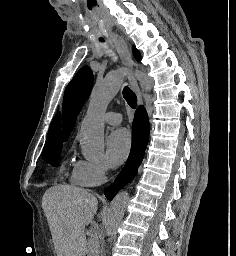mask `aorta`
<instances>
[{"mask_svg": "<svg viewBox=\"0 0 236 256\" xmlns=\"http://www.w3.org/2000/svg\"><path fill=\"white\" fill-rule=\"evenodd\" d=\"M126 70L121 69L110 73L103 81L93 87L87 114L81 125V142L93 148L96 152L102 151L104 136L103 115L110 101L118 93ZM136 77L147 91L152 89L151 79L143 72L137 71ZM129 199L127 191L120 192L112 200L107 218L105 220V235L112 236L116 233L118 224L122 220Z\"/></svg>", "mask_w": 236, "mask_h": 256, "instance_id": "762f6f07", "label": "aorta"}]
</instances>
